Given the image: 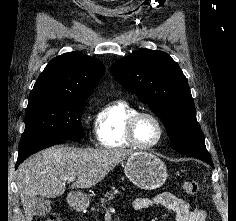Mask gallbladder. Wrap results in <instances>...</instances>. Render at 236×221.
Masks as SVG:
<instances>
[{
	"mask_svg": "<svg viewBox=\"0 0 236 221\" xmlns=\"http://www.w3.org/2000/svg\"><path fill=\"white\" fill-rule=\"evenodd\" d=\"M35 215L46 216L51 211V201L42 196H38L35 200Z\"/></svg>",
	"mask_w": 236,
	"mask_h": 221,
	"instance_id": "gallbladder-1",
	"label": "gallbladder"
}]
</instances>
